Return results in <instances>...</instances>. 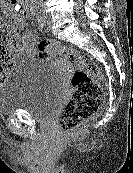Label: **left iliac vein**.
Listing matches in <instances>:
<instances>
[{
    "mask_svg": "<svg viewBox=\"0 0 133 173\" xmlns=\"http://www.w3.org/2000/svg\"><path fill=\"white\" fill-rule=\"evenodd\" d=\"M44 26H45V31H49L50 30L51 22H50V19L47 18V17H45Z\"/></svg>",
    "mask_w": 133,
    "mask_h": 173,
    "instance_id": "4c4485c4",
    "label": "left iliac vein"
}]
</instances>
